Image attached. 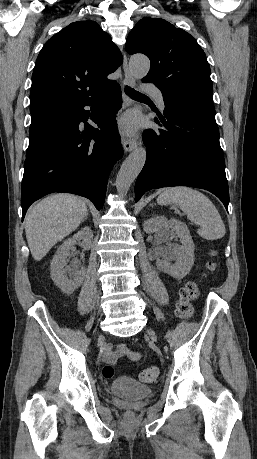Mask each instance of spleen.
Listing matches in <instances>:
<instances>
[{
	"label": "spleen",
	"mask_w": 257,
	"mask_h": 459,
	"mask_svg": "<svg viewBox=\"0 0 257 459\" xmlns=\"http://www.w3.org/2000/svg\"><path fill=\"white\" fill-rule=\"evenodd\" d=\"M163 205H176L187 218L199 226L198 234L207 240H217L225 235V225L212 201L203 193L185 186L166 189L158 197Z\"/></svg>",
	"instance_id": "3e777b00"
}]
</instances>
